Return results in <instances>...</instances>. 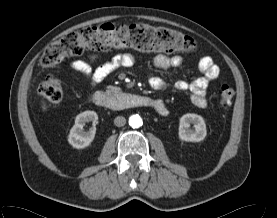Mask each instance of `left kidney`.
<instances>
[{
    "mask_svg": "<svg viewBox=\"0 0 277 218\" xmlns=\"http://www.w3.org/2000/svg\"><path fill=\"white\" fill-rule=\"evenodd\" d=\"M193 124L194 129L190 128ZM179 138L186 142H200L206 135V124L202 116L187 113L179 121Z\"/></svg>",
    "mask_w": 277,
    "mask_h": 218,
    "instance_id": "5707ae66",
    "label": "left kidney"
}]
</instances>
